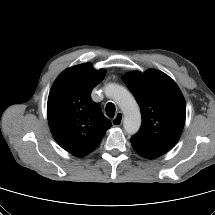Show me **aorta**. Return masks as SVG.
Returning a JSON list of instances; mask_svg holds the SVG:
<instances>
[{"label":"aorta","mask_w":215,"mask_h":215,"mask_svg":"<svg viewBox=\"0 0 215 215\" xmlns=\"http://www.w3.org/2000/svg\"><path fill=\"white\" fill-rule=\"evenodd\" d=\"M105 93L112 98L124 114V129L128 134H135L141 125V113L133 95L124 87L116 84H109Z\"/></svg>","instance_id":"aorta-1"}]
</instances>
